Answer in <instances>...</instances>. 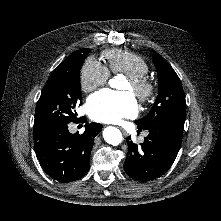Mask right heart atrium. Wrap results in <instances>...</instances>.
<instances>
[{"label": "right heart atrium", "mask_w": 221, "mask_h": 221, "mask_svg": "<svg viewBox=\"0 0 221 221\" xmlns=\"http://www.w3.org/2000/svg\"><path fill=\"white\" fill-rule=\"evenodd\" d=\"M109 72L107 68L95 58H87L79 73V84L83 92H91L107 83Z\"/></svg>", "instance_id": "1"}]
</instances>
